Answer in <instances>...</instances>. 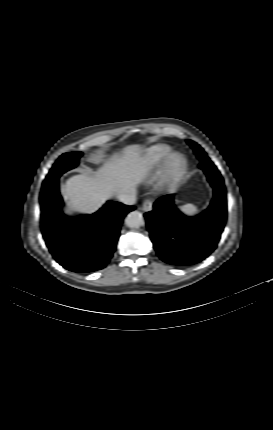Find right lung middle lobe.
Here are the masks:
<instances>
[{
  "instance_id": "obj_1",
  "label": "right lung middle lobe",
  "mask_w": 273,
  "mask_h": 430,
  "mask_svg": "<svg viewBox=\"0 0 273 430\" xmlns=\"http://www.w3.org/2000/svg\"><path fill=\"white\" fill-rule=\"evenodd\" d=\"M82 155L81 152H70L65 153L59 157L56 163L53 165L52 169L49 171L43 184H49L58 178L66 171L74 168L78 164V159Z\"/></svg>"
}]
</instances>
